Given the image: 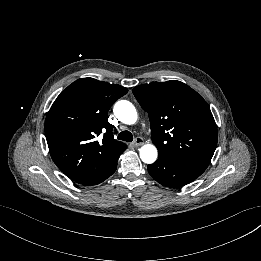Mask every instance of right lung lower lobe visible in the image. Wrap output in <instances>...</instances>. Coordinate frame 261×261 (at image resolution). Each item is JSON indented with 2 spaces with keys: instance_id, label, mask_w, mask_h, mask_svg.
Here are the masks:
<instances>
[{
  "instance_id": "obj_1",
  "label": "right lung lower lobe",
  "mask_w": 261,
  "mask_h": 261,
  "mask_svg": "<svg viewBox=\"0 0 261 261\" xmlns=\"http://www.w3.org/2000/svg\"><path fill=\"white\" fill-rule=\"evenodd\" d=\"M118 158L115 159L112 163H110L109 166L99 175H97L93 178L87 179L83 182H78V183L85 185V186H91V185H96V184L103 182L104 180H106L108 177H110L115 172L116 167H117Z\"/></svg>"
}]
</instances>
